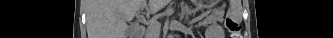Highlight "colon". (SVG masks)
Returning a JSON list of instances; mask_svg holds the SVG:
<instances>
[{"label": "colon", "instance_id": "obj_1", "mask_svg": "<svg viewBox=\"0 0 333 38\" xmlns=\"http://www.w3.org/2000/svg\"><path fill=\"white\" fill-rule=\"evenodd\" d=\"M225 25L230 32V38H241V27L236 20L231 17H227Z\"/></svg>", "mask_w": 333, "mask_h": 38}]
</instances>
